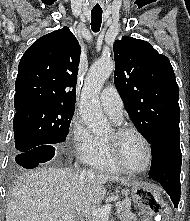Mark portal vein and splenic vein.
<instances>
[{
    "label": "portal vein and splenic vein",
    "instance_id": "portal-vein-and-splenic-vein-1",
    "mask_svg": "<svg viewBox=\"0 0 190 221\" xmlns=\"http://www.w3.org/2000/svg\"><path fill=\"white\" fill-rule=\"evenodd\" d=\"M121 205H122L121 202H117L115 204V206H117V207H120ZM110 211H111V205H106V206H104L102 208L93 209L91 211V215H92V217H99V218H101L102 221H108ZM73 218H74V215L69 214V215L64 216L62 218V221H70Z\"/></svg>",
    "mask_w": 190,
    "mask_h": 221
}]
</instances>
